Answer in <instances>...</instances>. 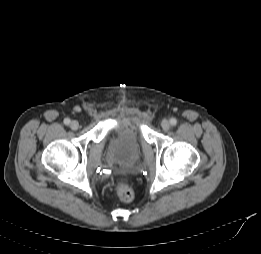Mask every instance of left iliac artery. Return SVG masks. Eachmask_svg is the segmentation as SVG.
Instances as JSON below:
<instances>
[{
  "mask_svg": "<svg viewBox=\"0 0 261 254\" xmlns=\"http://www.w3.org/2000/svg\"><path fill=\"white\" fill-rule=\"evenodd\" d=\"M170 123H171L172 126H175L177 124L176 118H171Z\"/></svg>",
  "mask_w": 261,
  "mask_h": 254,
  "instance_id": "left-iliac-artery-1",
  "label": "left iliac artery"
}]
</instances>
